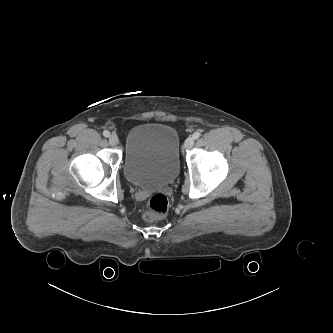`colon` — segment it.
<instances>
[{
  "mask_svg": "<svg viewBox=\"0 0 333 333\" xmlns=\"http://www.w3.org/2000/svg\"><path fill=\"white\" fill-rule=\"evenodd\" d=\"M168 212V200L163 194L154 195L143 212L146 221H157L163 219Z\"/></svg>",
  "mask_w": 333,
  "mask_h": 333,
  "instance_id": "obj_1",
  "label": "colon"
}]
</instances>
